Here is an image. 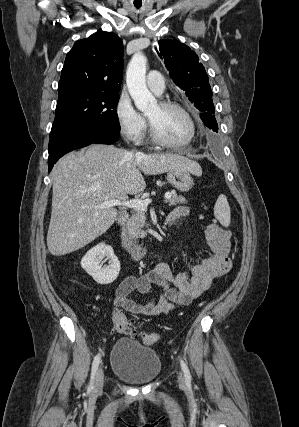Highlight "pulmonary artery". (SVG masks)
Wrapping results in <instances>:
<instances>
[{"mask_svg": "<svg viewBox=\"0 0 299 427\" xmlns=\"http://www.w3.org/2000/svg\"><path fill=\"white\" fill-rule=\"evenodd\" d=\"M147 85L156 95H162L165 90L163 75L158 71H150L147 75Z\"/></svg>", "mask_w": 299, "mask_h": 427, "instance_id": "1", "label": "pulmonary artery"}]
</instances>
